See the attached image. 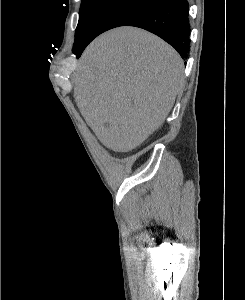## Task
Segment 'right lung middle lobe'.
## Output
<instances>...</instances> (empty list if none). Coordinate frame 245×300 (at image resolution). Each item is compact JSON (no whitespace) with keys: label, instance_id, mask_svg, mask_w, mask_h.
<instances>
[{"label":"right lung middle lobe","instance_id":"1","mask_svg":"<svg viewBox=\"0 0 245 300\" xmlns=\"http://www.w3.org/2000/svg\"><path fill=\"white\" fill-rule=\"evenodd\" d=\"M157 0H82L74 47L88 45L96 36L123 26Z\"/></svg>","mask_w":245,"mask_h":300}]
</instances>
